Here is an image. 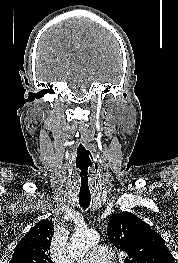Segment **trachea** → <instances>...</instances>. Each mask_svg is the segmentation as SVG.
I'll return each instance as SVG.
<instances>
[{
    "instance_id": "trachea-1",
    "label": "trachea",
    "mask_w": 178,
    "mask_h": 263,
    "mask_svg": "<svg viewBox=\"0 0 178 263\" xmlns=\"http://www.w3.org/2000/svg\"><path fill=\"white\" fill-rule=\"evenodd\" d=\"M79 173V186H78V197L79 204L83 209L89 207L91 202V192L89 187V169L85 166L78 167Z\"/></svg>"
}]
</instances>
